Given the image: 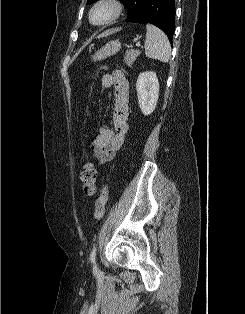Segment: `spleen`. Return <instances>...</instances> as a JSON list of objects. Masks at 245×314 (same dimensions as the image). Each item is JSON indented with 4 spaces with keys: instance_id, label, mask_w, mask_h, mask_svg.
Instances as JSON below:
<instances>
[{
    "instance_id": "3e777b00",
    "label": "spleen",
    "mask_w": 245,
    "mask_h": 314,
    "mask_svg": "<svg viewBox=\"0 0 245 314\" xmlns=\"http://www.w3.org/2000/svg\"><path fill=\"white\" fill-rule=\"evenodd\" d=\"M145 55L151 59L168 62L171 56L170 42L163 31L154 25H146Z\"/></svg>"
}]
</instances>
